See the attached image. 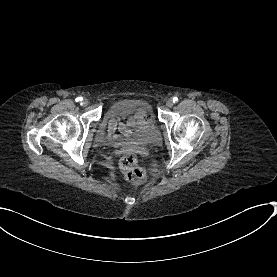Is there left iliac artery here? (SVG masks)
Instances as JSON below:
<instances>
[{"label": "left iliac artery", "instance_id": "left-iliac-artery-1", "mask_svg": "<svg viewBox=\"0 0 277 277\" xmlns=\"http://www.w3.org/2000/svg\"><path fill=\"white\" fill-rule=\"evenodd\" d=\"M173 102H174V103H177V102H178V98H177V97H174V98H173Z\"/></svg>", "mask_w": 277, "mask_h": 277}]
</instances>
